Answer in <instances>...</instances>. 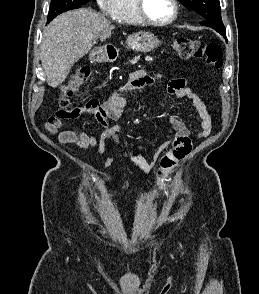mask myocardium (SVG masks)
I'll return each mask as SVG.
<instances>
[{
    "label": "myocardium",
    "mask_w": 259,
    "mask_h": 294,
    "mask_svg": "<svg viewBox=\"0 0 259 294\" xmlns=\"http://www.w3.org/2000/svg\"><path fill=\"white\" fill-rule=\"evenodd\" d=\"M173 5V15L166 21H156L148 16L145 10V0H135L136 12L140 20L148 25L163 27L172 24L176 21L179 15V4L177 0H171Z\"/></svg>",
    "instance_id": "1"
}]
</instances>
